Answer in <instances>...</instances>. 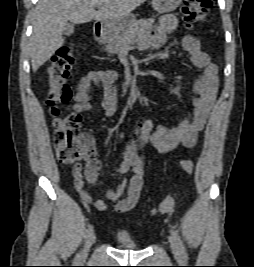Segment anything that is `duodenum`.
Masks as SVG:
<instances>
[{"label":"duodenum","instance_id":"obj_1","mask_svg":"<svg viewBox=\"0 0 254 267\" xmlns=\"http://www.w3.org/2000/svg\"><path fill=\"white\" fill-rule=\"evenodd\" d=\"M104 23L103 22H97L94 26L93 30V40L94 41H101L104 37Z\"/></svg>","mask_w":254,"mask_h":267}]
</instances>
